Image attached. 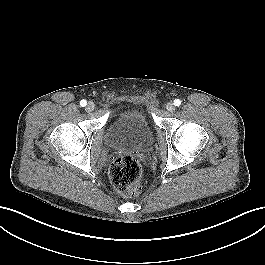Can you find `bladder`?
Returning <instances> with one entry per match:
<instances>
[{
    "mask_svg": "<svg viewBox=\"0 0 265 265\" xmlns=\"http://www.w3.org/2000/svg\"><path fill=\"white\" fill-rule=\"evenodd\" d=\"M149 116L140 106L122 111L107 127L108 142L117 147L142 150L153 141Z\"/></svg>",
    "mask_w": 265,
    "mask_h": 265,
    "instance_id": "bladder-1",
    "label": "bladder"
}]
</instances>
